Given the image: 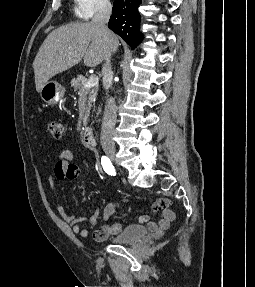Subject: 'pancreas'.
<instances>
[{
    "label": "pancreas",
    "instance_id": "pancreas-1",
    "mask_svg": "<svg viewBox=\"0 0 255 287\" xmlns=\"http://www.w3.org/2000/svg\"><path fill=\"white\" fill-rule=\"evenodd\" d=\"M88 82V78H84V76H77V78H73L71 80V88H73L74 92L76 94H82V92H85L87 94V106L85 116L83 118V124L86 126L88 116L90 114V110L92 108V104H94L98 94V86H91V88H84V84Z\"/></svg>",
    "mask_w": 255,
    "mask_h": 287
}]
</instances>
